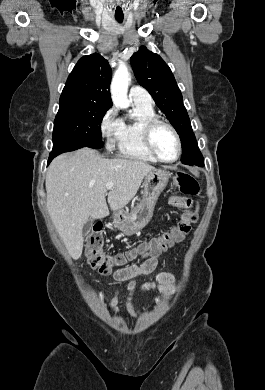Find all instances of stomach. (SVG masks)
Masks as SVG:
<instances>
[{
  "instance_id": "0dacf381",
  "label": "stomach",
  "mask_w": 265,
  "mask_h": 390,
  "mask_svg": "<svg viewBox=\"0 0 265 390\" xmlns=\"http://www.w3.org/2000/svg\"><path fill=\"white\" fill-rule=\"evenodd\" d=\"M171 174L165 170H153L145 176L143 197L132 212L119 211L114 215V225L125 235L142 230L153 216L156 201L168 184Z\"/></svg>"
}]
</instances>
